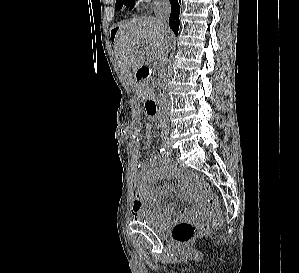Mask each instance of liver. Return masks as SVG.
Wrapping results in <instances>:
<instances>
[{
    "mask_svg": "<svg viewBox=\"0 0 299 273\" xmlns=\"http://www.w3.org/2000/svg\"><path fill=\"white\" fill-rule=\"evenodd\" d=\"M173 40L171 31L164 33L154 17H138L119 25L114 40V52L120 70L132 87H136L133 74L145 63L146 55L160 60L163 50Z\"/></svg>",
    "mask_w": 299,
    "mask_h": 273,
    "instance_id": "6515ba94",
    "label": "liver"
}]
</instances>
